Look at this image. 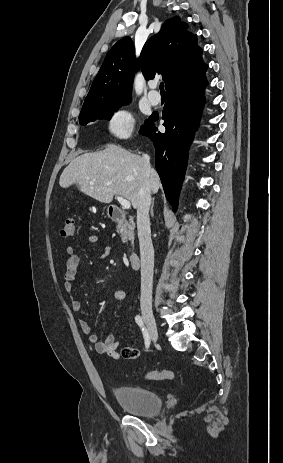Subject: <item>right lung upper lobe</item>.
<instances>
[{
	"label": "right lung upper lobe",
	"mask_w": 283,
	"mask_h": 463,
	"mask_svg": "<svg viewBox=\"0 0 283 463\" xmlns=\"http://www.w3.org/2000/svg\"><path fill=\"white\" fill-rule=\"evenodd\" d=\"M179 17L164 22L158 34L144 45L136 61L130 37L118 41L107 53L83 105L114 98H131L134 72L141 67L146 79L162 74L166 91L202 77L207 65L196 35Z\"/></svg>",
	"instance_id": "right-lung-upper-lobe-1"
}]
</instances>
